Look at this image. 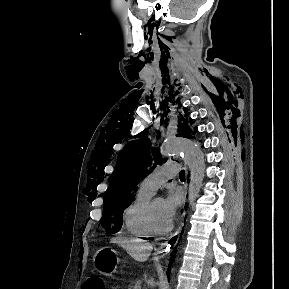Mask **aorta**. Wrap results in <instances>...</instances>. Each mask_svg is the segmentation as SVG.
I'll use <instances>...</instances> for the list:
<instances>
[{"label":"aorta","mask_w":289,"mask_h":289,"mask_svg":"<svg viewBox=\"0 0 289 289\" xmlns=\"http://www.w3.org/2000/svg\"><path fill=\"white\" fill-rule=\"evenodd\" d=\"M164 158L181 157L190 170V184L188 200L190 205L195 204L205 175V161L201 149L189 139L180 137H168L161 148Z\"/></svg>","instance_id":"aorta-1"}]
</instances>
